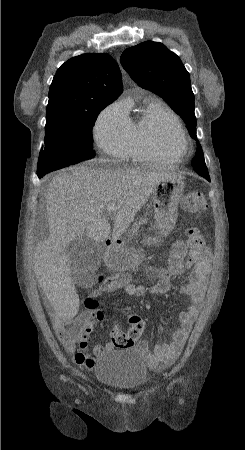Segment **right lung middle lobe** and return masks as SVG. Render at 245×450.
<instances>
[{
    "label": "right lung middle lobe",
    "mask_w": 245,
    "mask_h": 450,
    "mask_svg": "<svg viewBox=\"0 0 245 450\" xmlns=\"http://www.w3.org/2000/svg\"><path fill=\"white\" fill-rule=\"evenodd\" d=\"M108 104H97L89 111L55 110L46 115L45 148L40 152L39 173L92 159V126Z\"/></svg>",
    "instance_id": "1"
}]
</instances>
